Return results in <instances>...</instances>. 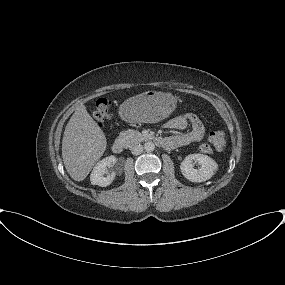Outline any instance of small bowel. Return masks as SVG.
I'll use <instances>...</instances> for the list:
<instances>
[{"label":"small bowel","instance_id":"1","mask_svg":"<svg viewBox=\"0 0 285 285\" xmlns=\"http://www.w3.org/2000/svg\"><path fill=\"white\" fill-rule=\"evenodd\" d=\"M191 127L190 131L166 138L170 149L186 146L193 142H200L205 136V127L199 117L194 113H183L170 119L165 127L167 129L185 130Z\"/></svg>","mask_w":285,"mask_h":285}]
</instances>
